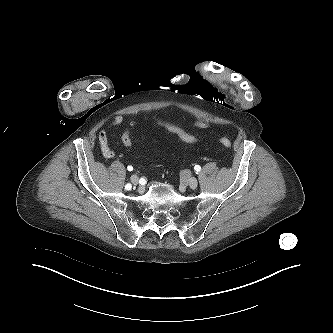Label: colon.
Masks as SVG:
<instances>
[{"mask_svg": "<svg viewBox=\"0 0 333 333\" xmlns=\"http://www.w3.org/2000/svg\"><path fill=\"white\" fill-rule=\"evenodd\" d=\"M155 122L157 124H159L160 126H162L163 128L167 129L168 131H170L171 133L177 135L182 141L189 143V144H193L196 143L198 141V138L195 137L194 135L186 132L184 129H182L181 127L172 124L170 122H167L163 119L160 118H154ZM135 125V122H131L128 127L124 130V132L122 133L121 136V140L122 143L126 146V147H130L133 144V140H132V128ZM220 142L223 146L230 148L231 147V142L229 139L223 137L220 139Z\"/></svg>", "mask_w": 333, "mask_h": 333, "instance_id": "5ec220e1", "label": "colon"}]
</instances>
